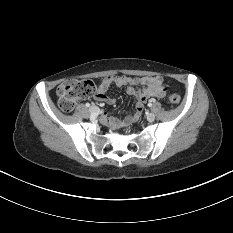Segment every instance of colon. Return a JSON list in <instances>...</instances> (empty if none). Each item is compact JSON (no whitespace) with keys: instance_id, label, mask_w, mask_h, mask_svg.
<instances>
[{"instance_id":"1","label":"colon","mask_w":233,"mask_h":233,"mask_svg":"<svg viewBox=\"0 0 233 233\" xmlns=\"http://www.w3.org/2000/svg\"><path fill=\"white\" fill-rule=\"evenodd\" d=\"M95 89V84L90 79L62 83L57 88L58 105L61 110L70 112L79 100L91 97L95 93ZM169 102L177 105L180 102V96L176 93L171 94Z\"/></svg>"}]
</instances>
